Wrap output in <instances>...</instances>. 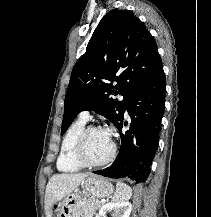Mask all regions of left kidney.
Masks as SVG:
<instances>
[{
    "instance_id": "obj_1",
    "label": "left kidney",
    "mask_w": 211,
    "mask_h": 217,
    "mask_svg": "<svg viewBox=\"0 0 211 217\" xmlns=\"http://www.w3.org/2000/svg\"><path fill=\"white\" fill-rule=\"evenodd\" d=\"M132 207L129 202H110L103 205L96 217H106L107 212H113V217H129Z\"/></svg>"
}]
</instances>
